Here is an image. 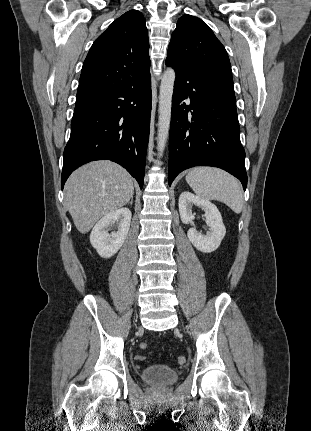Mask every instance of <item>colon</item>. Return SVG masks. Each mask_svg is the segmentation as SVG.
Segmentation results:
<instances>
[{"label":"colon","instance_id":"colon-1","mask_svg":"<svg viewBox=\"0 0 311 431\" xmlns=\"http://www.w3.org/2000/svg\"><path fill=\"white\" fill-rule=\"evenodd\" d=\"M140 348H141L142 350L147 349V344H146V343H141V344H140ZM136 359H137L138 361H144V360L146 359V356H145V355H142V354H139V355H137V356H136ZM177 363H178L179 365H184V364L186 363V358H185L184 356H179V357L177 358Z\"/></svg>","mask_w":311,"mask_h":431}]
</instances>
